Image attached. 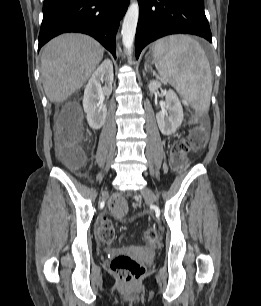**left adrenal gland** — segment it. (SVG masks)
<instances>
[{"instance_id": "1", "label": "left adrenal gland", "mask_w": 261, "mask_h": 306, "mask_svg": "<svg viewBox=\"0 0 261 306\" xmlns=\"http://www.w3.org/2000/svg\"><path fill=\"white\" fill-rule=\"evenodd\" d=\"M144 70H145V72H147L148 70L153 71V70H152V67L150 66V64L148 63V61L145 62V64H144ZM153 74H155L154 71H153Z\"/></svg>"}]
</instances>
